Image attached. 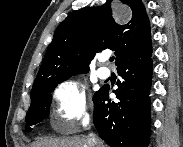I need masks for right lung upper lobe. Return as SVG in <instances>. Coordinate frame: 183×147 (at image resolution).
I'll return each mask as SVG.
<instances>
[{
    "label": "right lung upper lobe",
    "instance_id": "cb5924a9",
    "mask_svg": "<svg viewBox=\"0 0 183 147\" xmlns=\"http://www.w3.org/2000/svg\"><path fill=\"white\" fill-rule=\"evenodd\" d=\"M110 2L74 11L59 24L31 91L86 73L94 57L107 48L115 51L116 66L152 50L150 23L141 0H122L132 10L131 20L123 25L112 17Z\"/></svg>",
    "mask_w": 183,
    "mask_h": 147
}]
</instances>
